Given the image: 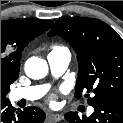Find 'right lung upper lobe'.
<instances>
[{
    "label": "right lung upper lobe",
    "mask_w": 123,
    "mask_h": 123,
    "mask_svg": "<svg viewBox=\"0 0 123 123\" xmlns=\"http://www.w3.org/2000/svg\"><path fill=\"white\" fill-rule=\"evenodd\" d=\"M52 24L50 20L28 18L1 21V98L19 76L23 49Z\"/></svg>",
    "instance_id": "cb5924a9"
}]
</instances>
